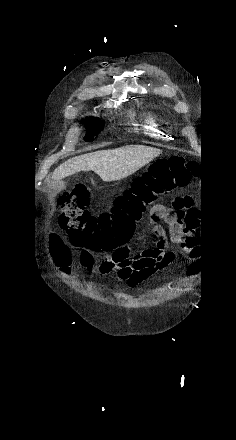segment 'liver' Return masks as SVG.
<instances>
[{
	"mask_svg": "<svg viewBox=\"0 0 236 440\" xmlns=\"http://www.w3.org/2000/svg\"><path fill=\"white\" fill-rule=\"evenodd\" d=\"M162 151L143 145H128L101 150L68 159L52 175L55 181L80 171H94L105 182L117 181L132 175Z\"/></svg>",
	"mask_w": 236,
	"mask_h": 440,
	"instance_id": "obj_1",
	"label": "liver"
}]
</instances>
